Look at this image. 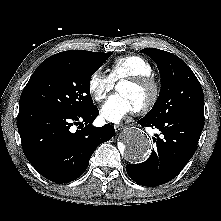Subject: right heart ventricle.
Returning a JSON list of instances; mask_svg holds the SVG:
<instances>
[{
	"instance_id": "obj_1",
	"label": "right heart ventricle",
	"mask_w": 221,
	"mask_h": 221,
	"mask_svg": "<svg viewBox=\"0 0 221 221\" xmlns=\"http://www.w3.org/2000/svg\"><path fill=\"white\" fill-rule=\"evenodd\" d=\"M151 64L142 56L126 55L113 61L110 66L109 76L114 82L127 77L139 75H152Z\"/></svg>"
}]
</instances>
